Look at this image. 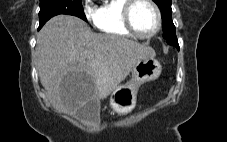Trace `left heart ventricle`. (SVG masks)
<instances>
[{"label":"left heart ventricle","mask_w":227,"mask_h":142,"mask_svg":"<svg viewBox=\"0 0 227 142\" xmlns=\"http://www.w3.org/2000/svg\"><path fill=\"white\" fill-rule=\"evenodd\" d=\"M132 20L135 28L142 34H150L157 26L155 10L144 1L139 2L134 7Z\"/></svg>","instance_id":"1"}]
</instances>
